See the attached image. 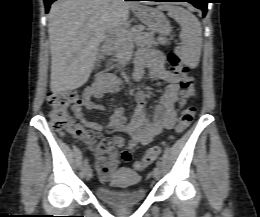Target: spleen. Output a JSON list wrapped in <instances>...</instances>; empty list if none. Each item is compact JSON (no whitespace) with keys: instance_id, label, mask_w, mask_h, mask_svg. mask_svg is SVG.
<instances>
[{"instance_id":"spleen-1","label":"spleen","mask_w":260,"mask_h":217,"mask_svg":"<svg viewBox=\"0 0 260 217\" xmlns=\"http://www.w3.org/2000/svg\"><path fill=\"white\" fill-rule=\"evenodd\" d=\"M162 9L181 27L182 43L178 48L181 56L185 59L198 58L201 52L202 28L197 17L182 7L164 5Z\"/></svg>"}]
</instances>
